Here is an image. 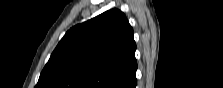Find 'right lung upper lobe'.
<instances>
[{
    "mask_svg": "<svg viewBox=\"0 0 223 88\" xmlns=\"http://www.w3.org/2000/svg\"><path fill=\"white\" fill-rule=\"evenodd\" d=\"M135 50L124 13L108 10L66 32L35 88H131Z\"/></svg>",
    "mask_w": 223,
    "mask_h": 88,
    "instance_id": "1",
    "label": "right lung upper lobe"
}]
</instances>
